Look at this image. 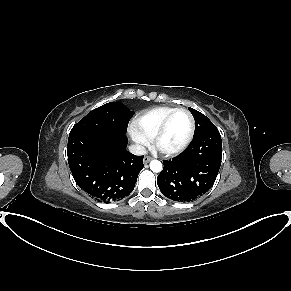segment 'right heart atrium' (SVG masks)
<instances>
[{"label": "right heart atrium", "mask_w": 291, "mask_h": 291, "mask_svg": "<svg viewBox=\"0 0 291 291\" xmlns=\"http://www.w3.org/2000/svg\"><path fill=\"white\" fill-rule=\"evenodd\" d=\"M129 133L132 139L140 146H145L148 144L149 140L135 127L131 126Z\"/></svg>", "instance_id": "1"}]
</instances>
